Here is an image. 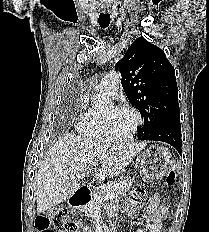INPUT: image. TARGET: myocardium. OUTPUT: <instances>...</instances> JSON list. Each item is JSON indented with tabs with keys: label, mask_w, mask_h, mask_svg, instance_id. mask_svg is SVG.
Here are the masks:
<instances>
[{
	"label": "myocardium",
	"mask_w": 209,
	"mask_h": 232,
	"mask_svg": "<svg viewBox=\"0 0 209 232\" xmlns=\"http://www.w3.org/2000/svg\"><path fill=\"white\" fill-rule=\"evenodd\" d=\"M112 108L115 110H126L132 113L135 117V124L130 133L123 136H116L112 134L110 131L108 117L105 114L102 115V128L106 139L115 140V141H126L131 139L137 133V131L142 125L143 120L141 113L136 108L130 105H115Z\"/></svg>",
	"instance_id": "myocardium-1"
}]
</instances>
